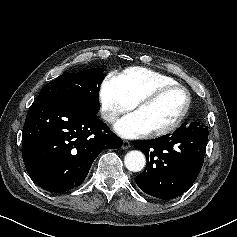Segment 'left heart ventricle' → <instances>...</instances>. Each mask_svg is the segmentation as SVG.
<instances>
[{"label":"left heart ventricle","instance_id":"obj_1","mask_svg":"<svg viewBox=\"0 0 237 237\" xmlns=\"http://www.w3.org/2000/svg\"><path fill=\"white\" fill-rule=\"evenodd\" d=\"M186 102L185 93L180 89L165 92L155 101L136 110L148 131L169 125L181 112Z\"/></svg>","mask_w":237,"mask_h":237}]
</instances>
